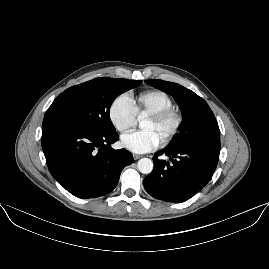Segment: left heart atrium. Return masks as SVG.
Masks as SVG:
<instances>
[{"instance_id": "obj_1", "label": "left heart atrium", "mask_w": 269, "mask_h": 269, "mask_svg": "<svg viewBox=\"0 0 269 269\" xmlns=\"http://www.w3.org/2000/svg\"><path fill=\"white\" fill-rule=\"evenodd\" d=\"M121 145L134 153H146L157 149L161 141L153 131H142L123 135Z\"/></svg>"}]
</instances>
